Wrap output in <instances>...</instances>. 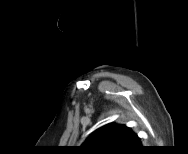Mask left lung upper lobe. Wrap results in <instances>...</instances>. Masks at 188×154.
Wrapping results in <instances>:
<instances>
[{"label":"left lung upper lobe","instance_id":"obj_1","mask_svg":"<svg viewBox=\"0 0 188 154\" xmlns=\"http://www.w3.org/2000/svg\"><path fill=\"white\" fill-rule=\"evenodd\" d=\"M135 137L125 125L107 124L93 132L82 148L94 154L124 152L131 149Z\"/></svg>","mask_w":188,"mask_h":154}]
</instances>
